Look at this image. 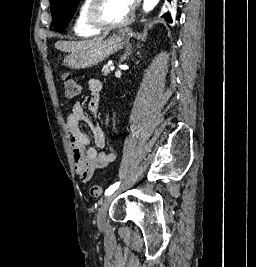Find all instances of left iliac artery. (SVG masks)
Wrapping results in <instances>:
<instances>
[{
	"mask_svg": "<svg viewBox=\"0 0 256 267\" xmlns=\"http://www.w3.org/2000/svg\"><path fill=\"white\" fill-rule=\"evenodd\" d=\"M119 185H120V182H116L115 184L111 185L108 189H106L105 195L108 196V195L113 194L114 191L118 189Z\"/></svg>",
	"mask_w": 256,
	"mask_h": 267,
	"instance_id": "obj_1",
	"label": "left iliac artery"
}]
</instances>
